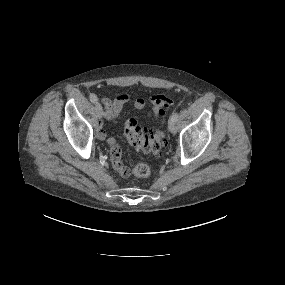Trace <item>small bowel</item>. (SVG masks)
<instances>
[{"mask_svg":"<svg viewBox=\"0 0 285 285\" xmlns=\"http://www.w3.org/2000/svg\"><path fill=\"white\" fill-rule=\"evenodd\" d=\"M102 104L105 107L104 118L106 120H113L117 118L120 111L126 104H131L136 109H142L145 106V100L143 98L133 99L130 94L122 93L114 99L102 98ZM96 135L101 140H106L107 143L111 146V163L113 169L122 177H127L130 174V170L126 167L122 160L121 155L122 151L120 146L116 143L113 137H107L105 131L101 126L96 130Z\"/></svg>","mask_w":285,"mask_h":285,"instance_id":"1","label":"small bowel"}]
</instances>
